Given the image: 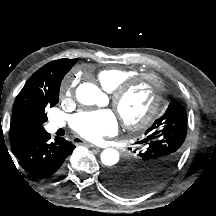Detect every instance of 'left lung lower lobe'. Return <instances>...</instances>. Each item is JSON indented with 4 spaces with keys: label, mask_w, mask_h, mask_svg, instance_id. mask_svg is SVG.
<instances>
[{
    "label": "left lung lower lobe",
    "mask_w": 216,
    "mask_h": 216,
    "mask_svg": "<svg viewBox=\"0 0 216 216\" xmlns=\"http://www.w3.org/2000/svg\"><path fill=\"white\" fill-rule=\"evenodd\" d=\"M128 172H129L128 166L126 165V162H124V164H122L118 169L110 170L109 172H107L103 180L105 184L115 193L122 196H128L126 192H124L117 184V182H119L121 177Z\"/></svg>",
    "instance_id": "obj_1"
}]
</instances>
